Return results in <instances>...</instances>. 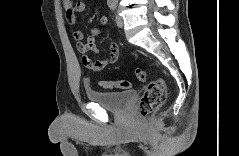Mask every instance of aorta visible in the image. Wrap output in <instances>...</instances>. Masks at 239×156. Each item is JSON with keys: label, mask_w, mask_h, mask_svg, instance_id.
I'll return each instance as SVG.
<instances>
[{"label": "aorta", "mask_w": 239, "mask_h": 156, "mask_svg": "<svg viewBox=\"0 0 239 156\" xmlns=\"http://www.w3.org/2000/svg\"><path fill=\"white\" fill-rule=\"evenodd\" d=\"M108 4L116 5L118 0H107Z\"/></svg>", "instance_id": "aorta-1"}]
</instances>
